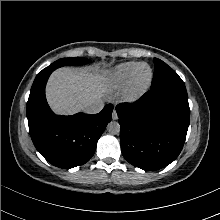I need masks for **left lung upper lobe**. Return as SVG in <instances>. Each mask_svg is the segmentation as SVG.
Instances as JSON below:
<instances>
[{
    "mask_svg": "<svg viewBox=\"0 0 220 220\" xmlns=\"http://www.w3.org/2000/svg\"><path fill=\"white\" fill-rule=\"evenodd\" d=\"M154 62L155 70L151 89L187 95L184 82L178 76V74L162 60L154 58Z\"/></svg>",
    "mask_w": 220,
    "mask_h": 220,
    "instance_id": "1",
    "label": "left lung upper lobe"
}]
</instances>
